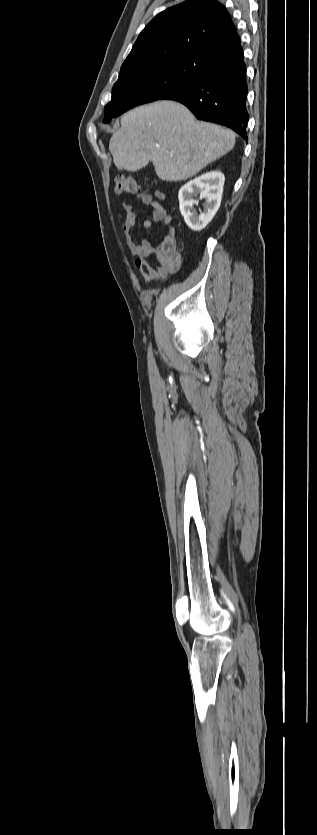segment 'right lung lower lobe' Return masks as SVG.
I'll list each match as a JSON object with an SVG mask.
<instances>
[{
    "label": "right lung lower lobe",
    "instance_id": "1",
    "mask_svg": "<svg viewBox=\"0 0 317 835\" xmlns=\"http://www.w3.org/2000/svg\"><path fill=\"white\" fill-rule=\"evenodd\" d=\"M195 57L203 78L179 87L161 100L178 101L197 119L227 126L248 141L246 65L237 32L231 41Z\"/></svg>",
    "mask_w": 317,
    "mask_h": 835
}]
</instances>
